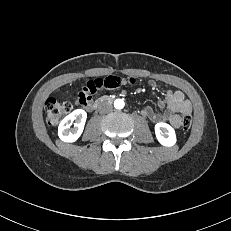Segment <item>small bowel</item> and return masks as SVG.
<instances>
[{"instance_id": "1", "label": "small bowel", "mask_w": 231, "mask_h": 231, "mask_svg": "<svg viewBox=\"0 0 231 231\" xmlns=\"http://www.w3.org/2000/svg\"><path fill=\"white\" fill-rule=\"evenodd\" d=\"M127 82L135 84V78H127L125 76H103L94 79L87 80L81 89L77 91V103L85 109H90L92 105V95L98 92L115 91L119 88L125 87ZM152 87L156 86L154 80L150 81ZM159 108H167L163 114H156L150 106L145 107L142 110L143 116L147 117L154 123L166 121L173 127L179 128L181 125V116L190 114L192 112V106L189 100L185 98V95L180 90H168L165 94V99L158 102Z\"/></svg>"}]
</instances>
